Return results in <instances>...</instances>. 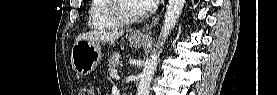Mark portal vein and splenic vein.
<instances>
[{
	"instance_id": "1",
	"label": "portal vein and splenic vein",
	"mask_w": 277,
	"mask_h": 95,
	"mask_svg": "<svg viewBox=\"0 0 277 95\" xmlns=\"http://www.w3.org/2000/svg\"><path fill=\"white\" fill-rule=\"evenodd\" d=\"M111 76H112L113 78L119 79L118 71L115 70V69L112 70V71H111Z\"/></svg>"
}]
</instances>
